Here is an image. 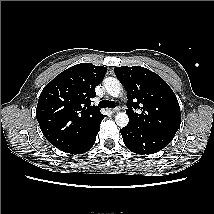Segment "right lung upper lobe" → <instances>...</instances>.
Instances as JSON below:
<instances>
[{
    "label": "right lung upper lobe",
    "instance_id": "obj_1",
    "mask_svg": "<svg viewBox=\"0 0 214 214\" xmlns=\"http://www.w3.org/2000/svg\"><path fill=\"white\" fill-rule=\"evenodd\" d=\"M106 72V67L80 63L61 72L42 90L36 118L46 139L59 150L73 147L105 117L90 104Z\"/></svg>",
    "mask_w": 214,
    "mask_h": 214
}]
</instances>
